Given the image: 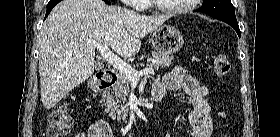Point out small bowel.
<instances>
[{"mask_svg": "<svg viewBox=\"0 0 280 137\" xmlns=\"http://www.w3.org/2000/svg\"><path fill=\"white\" fill-rule=\"evenodd\" d=\"M162 89L163 94L166 90L183 92L190 100L193 109L187 115L190 127V137H210L213 131L212 115L216 114L225 117L223 111L215 110L208 98V87L194 78L188 71L180 66H176L171 72L167 73L163 80L155 83ZM98 126L106 127L110 134L112 132L105 122H99ZM79 137H104L101 130L97 133L93 131L82 134ZM165 137H172L167 133Z\"/></svg>", "mask_w": 280, "mask_h": 137, "instance_id": "1", "label": "small bowel"}]
</instances>
